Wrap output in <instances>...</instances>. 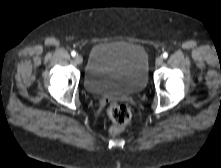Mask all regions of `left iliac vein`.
<instances>
[{"label": "left iliac vein", "instance_id": "4c4485c4", "mask_svg": "<svg viewBox=\"0 0 221 168\" xmlns=\"http://www.w3.org/2000/svg\"><path fill=\"white\" fill-rule=\"evenodd\" d=\"M163 64V57L159 56L156 58V65L160 66Z\"/></svg>", "mask_w": 221, "mask_h": 168}]
</instances>
